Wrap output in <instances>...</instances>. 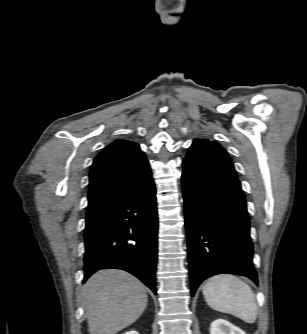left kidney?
<instances>
[{
    "label": "left kidney",
    "mask_w": 307,
    "mask_h": 334,
    "mask_svg": "<svg viewBox=\"0 0 307 334\" xmlns=\"http://www.w3.org/2000/svg\"><path fill=\"white\" fill-rule=\"evenodd\" d=\"M210 334H246L224 319H216L211 323Z\"/></svg>",
    "instance_id": "obj_1"
}]
</instances>
